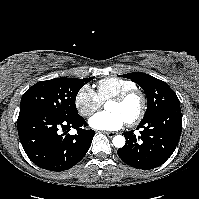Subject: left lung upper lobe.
I'll use <instances>...</instances> for the list:
<instances>
[{
  "instance_id": "left-lung-upper-lobe-1",
  "label": "left lung upper lobe",
  "mask_w": 199,
  "mask_h": 199,
  "mask_svg": "<svg viewBox=\"0 0 199 199\" xmlns=\"http://www.w3.org/2000/svg\"><path fill=\"white\" fill-rule=\"evenodd\" d=\"M140 85L147 96V110L142 120L173 106H180L175 92L164 81L141 72L121 75Z\"/></svg>"
}]
</instances>
